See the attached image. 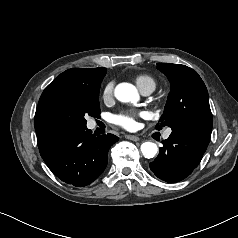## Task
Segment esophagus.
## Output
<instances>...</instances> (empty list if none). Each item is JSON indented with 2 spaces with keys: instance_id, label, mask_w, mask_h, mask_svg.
I'll use <instances>...</instances> for the list:
<instances>
[{
  "instance_id": "esophagus-1",
  "label": "esophagus",
  "mask_w": 238,
  "mask_h": 238,
  "mask_svg": "<svg viewBox=\"0 0 238 238\" xmlns=\"http://www.w3.org/2000/svg\"><path fill=\"white\" fill-rule=\"evenodd\" d=\"M125 138L131 141H139L140 138L134 135H125Z\"/></svg>"
}]
</instances>
